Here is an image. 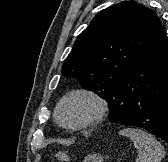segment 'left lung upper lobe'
<instances>
[{
  "instance_id": "5c2ea615",
  "label": "left lung upper lobe",
  "mask_w": 168,
  "mask_h": 162,
  "mask_svg": "<svg viewBox=\"0 0 168 162\" xmlns=\"http://www.w3.org/2000/svg\"><path fill=\"white\" fill-rule=\"evenodd\" d=\"M163 31L156 13L136 1L110 6L79 35L62 74L109 102Z\"/></svg>"
}]
</instances>
